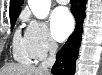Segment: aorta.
<instances>
[{
	"instance_id": "aorta-1",
	"label": "aorta",
	"mask_w": 102,
	"mask_h": 75,
	"mask_svg": "<svg viewBox=\"0 0 102 75\" xmlns=\"http://www.w3.org/2000/svg\"><path fill=\"white\" fill-rule=\"evenodd\" d=\"M28 5L38 19H45L50 11L51 0H28Z\"/></svg>"
}]
</instances>
